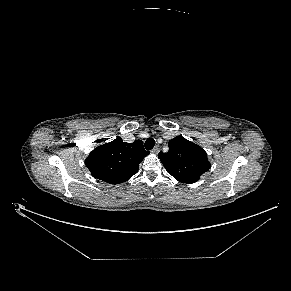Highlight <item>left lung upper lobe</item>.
<instances>
[{
    "label": "left lung upper lobe",
    "mask_w": 291,
    "mask_h": 291,
    "mask_svg": "<svg viewBox=\"0 0 291 291\" xmlns=\"http://www.w3.org/2000/svg\"><path fill=\"white\" fill-rule=\"evenodd\" d=\"M168 146L169 151L160 152L158 157L167 172L179 182L192 184L210 169L206 152L197 144L177 136Z\"/></svg>",
    "instance_id": "obj_1"
}]
</instances>
